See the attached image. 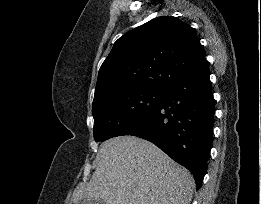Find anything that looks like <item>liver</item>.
<instances>
[{
  "instance_id": "1",
  "label": "liver",
  "mask_w": 261,
  "mask_h": 204,
  "mask_svg": "<svg viewBox=\"0 0 261 204\" xmlns=\"http://www.w3.org/2000/svg\"><path fill=\"white\" fill-rule=\"evenodd\" d=\"M98 166L87 184L73 194L77 204L86 198L106 204H190L194 178L151 142L119 136L103 142Z\"/></svg>"
}]
</instances>
